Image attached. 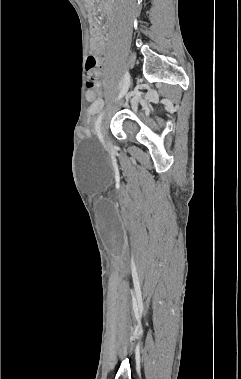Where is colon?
Returning a JSON list of instances; mask_svg holds the SVG:
<instances>
[{"label":"colon","instance_id":"colon-1","mask_svg":"<svg viewBox=\"0 0 241 379\" xmlns=\"http://www.w3.org/2000/svg\"><path fill=\"white\" fill-rule=\"evenodd\" d=\"M92 34H93V29H92ZM130 50H131V53L127 54L128 63H137L138 59H137L136 47L133 46V47H131ZM86 74H87V86L90 88L94 87L96 85L97 79L100 75V69H99V65H98L96 59L93 56H89L87 58ZM97 92L99 94H104L105 88L99 87L97 89Z\"/></svg>","mask_w":241,"mask_h":379}]
</instances>
